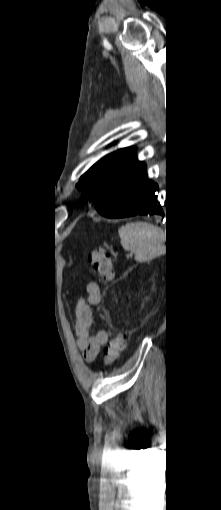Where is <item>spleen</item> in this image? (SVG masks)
I'll use <instances>...</instances> for the list:
<instances>
[{
  "instance_id": "obj_1",
  "label": "spleen",
  "mask_w": 221,
  "mask_h": 510,
  "mask_svg": "<svg viewBox=\"0 0 221 510\" xmlns=\"http://www.w3.org/2000/svg\"><path fill=\"white\" fill-rule=\"evenodd\" d=\"M125 250L133 251L136 261L144 262L160 255L165 249V235L158 227L146 222H130L118 230Z\"/></svg>"
}]
</instances>
